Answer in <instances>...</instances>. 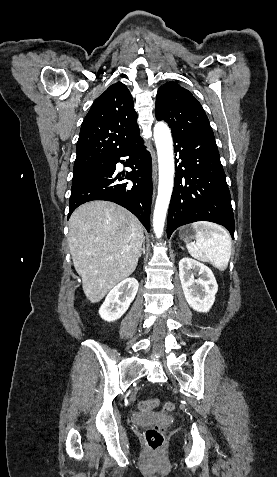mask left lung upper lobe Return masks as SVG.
<instances>
[{"instance_id": "obj_1", "label": "left lung upper lobe", "mask_w": 277, "mask_h": 477, "mask_svg": "<svg viewBox=\"0 0 277 477\" xmlns=\"http://www.w3.org/2000/svg\"><path fill=\"white\" fill-rule=\"evenodd\" d=\"M157 120L168 123L173 133L214 136L201 104L190 91L175 82H168L158 90L155 105Z\"/></svg>"}]
</instances>
